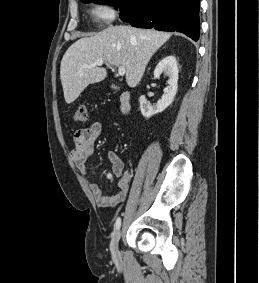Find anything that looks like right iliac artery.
I'll return each mask as SVG.
<instances>
[{
	"label": "right iliac artery",
	"instance_id": "right-iliac-artery-1",
	"mask_svg": "<svg viewBox=\"0 0 259 283\" xmlns=\"http://www.w3.org/2000/svg\"><path fill=\"white\" fill-rule=\"evenodd\" d=\"M120 226H121V218L118 217V218L116 219V223H115V230H116V231L119 230V229H120Z\"/></svg>",
	"mask_w": 259,
	"mask_h": 283
}]
</instances>
